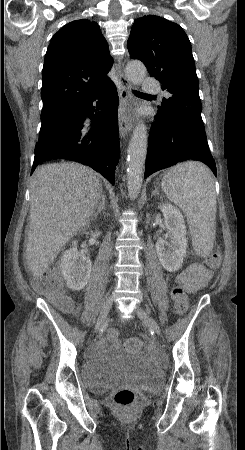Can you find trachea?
Returning a JSON list of instances; mask_svg holds the SVG:
<instances>
[{"instance_id": "3493384b", "label": "trachea", "mask_w": 245, "mask_h": 450, "mask_svg": "<svg viewBox=\"0 0 245 450\" xmlns=\"http://www.w3.org/2000/svg\"><path fill=\"white\" fill-rule=\"evenodd\" d=\"M134 93H135L136 95H147V94L142 93V92H139V91H134Z\"/></svg>"}]
</instances>
